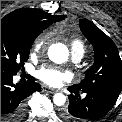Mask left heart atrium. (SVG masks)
I'll return each mask as SVG.
<instances>
[{
    "label": "left heart atrium",
    "instance_id": "39dd6f15",
    "mask_svg": "<svg viewBox=\"0 0 122 122\" xmlns=\"http://www.w3.org/2000/svg\"><path fill=\"white\" fill-rule=\"evenodd\" d=\"M37 76L42 82L52 87H59L63 82L71 78L69 72L51 66L40 68L37 72Z\"/></svg>",
    "mask_w": 122,
    "mask_h": 122
}]
</instances>
